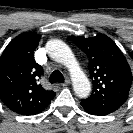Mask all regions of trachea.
<instances>
[{"mask_svg": "<svg viewBox=\"0 0 133 133\" xmlns=\"http://www.w3.org/2000/svg\"><path fill=\"white\" fill-rule=\"evenodd\" d=\"M50 83H56V82H60L63 83L64 82V76L62 75V73L59 70H55L49 79Z\"/></svg>", "mask_w": 133, "mask_h": 133, "instance_id": "3493384b", "label": "trachea"}]
</instances>
